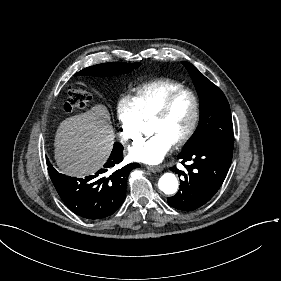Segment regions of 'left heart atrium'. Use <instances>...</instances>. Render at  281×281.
<instances>
[{
    "instance_id": "obj_1",
    "label": "left heart atrium",
    "mask_w": 281,
    "mask_h": 281,
    "mask_svg": "<svg viewBox=\"0 0 281 281\" xmlns=\"http://www.w3.org/2000/svg\"><path fill=\"white\" fill-rule=\"evenodd\" d=\"M172 142L161 133H153L135 143L130 149L133 160L145 164L160 163L171 149Z\"/></svg>"
}]
</instances>
